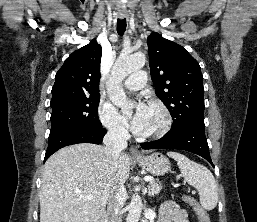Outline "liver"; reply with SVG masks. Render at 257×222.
<instances>
[{
  "mask_svg": "<svg viewBox=\"0 0 257 222\" xmlns=\"http://www.w3.org/2000/svg\"><path fill=\"white\" fill-rule=\"evenodd\" d=\"M129 171L127 154L109 160L100 145L79 143L60 149L44 165L40 222H98ZM85 195L93 199L81 197Z\"/></svg>",
  "mask_w": 257,
  "mask_h": 222,
  "instance_id": "liver-1",
  "label": "liver"
}]
</instances>
